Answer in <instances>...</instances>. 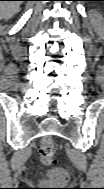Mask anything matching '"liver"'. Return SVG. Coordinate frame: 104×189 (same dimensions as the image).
<instances>
[{"label": "liver", "mask_w": 104, "mask_h": 189, "mask_svg": "<svg viewBox=\"0 0 104 189\" xmlns=\"http://www.w3.org/2000/svg\"><path fill=\"white\" fill-rule=\"evenodd\" d=\"M20 5V1H2L0 3L1 18H11L19 10Z\"/></svg>", "instance_id": "1"}]
</instances>
